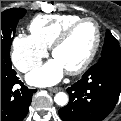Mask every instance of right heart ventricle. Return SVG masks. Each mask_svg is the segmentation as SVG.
Masks as SVG:
<instances>
[{
  "label": "right heart ventricle",
  "mask_w": 121,
  "mask_h": 121,
  "mask_svg": "<svg viewBox=\"0 0 121 121\" xmlns=\"http://www.w3.org/2000/svg\"><path fill=\"white\" fill-rule=\"evenodd\" d=\"M80 18L74 14L39 15L31 21L29 30L36 40L48 48L68 25Z\"/></svg>",
  "instance_id": "right-heart-ventricle-1"
}]
</instances>
